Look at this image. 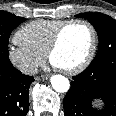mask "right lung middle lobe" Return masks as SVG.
<instances>
[{"instance_id":"1","label":"right lung middle lobe","mask_w":116,"mask_h":116,"mask_svg":"<svg viewBox=\"0 0 116 116\" xmlns=\"http://www.w3.org/2000/svg\"><path fill=\"white\" fill-rule=\"evenodd\" d=\"M26 19L6 11H0V72L9 70L12 64L8 56L9 36L19 24Z\"/></svg>"}]
</instances>
